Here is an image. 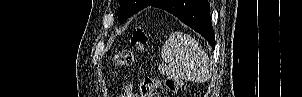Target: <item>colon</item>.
Listing matches in <instances>:
<instances>
[{
  "label": "colon",
  "mask_w": 302,
  "mask_h": 97,
  "mask_svg": "<svg viewBox=\"0 0 302 97\" xmlns=\"http://www.w3.org/2000/svg\"><path fill=\"white\" fill-rule=\"evenodd\" d=\"M131 42L137 52L143 51L146 48L148 37L143 27L138 26L134 28ZM137 52L131 50L119 51L114 55L113 62L117 66H129L135 61ZM180 84L179 80L168 78L164 82V87L167 90L176 91L180 87ZM161 86L162 83L158 79L147 77L141 83L140 96L157 97L155 90Z\"/></svg>",
  "instance_id": "colon-1"
}]
</instances>
